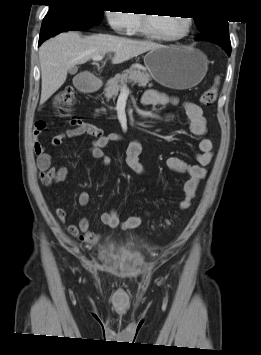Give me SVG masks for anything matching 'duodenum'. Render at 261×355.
Here are the masks:
<instances>
[{"mask_svg":"<svg viewBox=\"0 0 261 355\" xmlns=\"http://www.w3.org/2000/svg\"><path fill=\"white\" fill-rule=\"evenodd\" d=\"M77 88L82 91H94L97 89V82L92 78H80L76 82Z\"/></svg>","mask_w":261,"mask_h":355,"instance_id":"410a0bca","label":"duodenum"}]
</instances>
